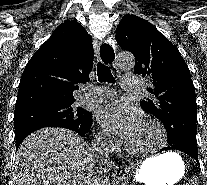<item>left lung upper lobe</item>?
<instances>
[{
    "mask_svg": "<svg viewBox=\"0 0 207 185\" xmlns=\"http://www.w3.org/2000/svg\"><path fill=\"white\" fill-rule=\"evenodd\" d=\"M115 39L135 57L134 72L152 80L142 109L165 125L168 144L197 151V104L190 71L179 50L148 21L126 14Z\"/></svg>",
    "mask_w": 207,
    "mask_h": 185,
    "instance_id": "1",
    "label": "left lung upper lobe"
}]
</instances>
